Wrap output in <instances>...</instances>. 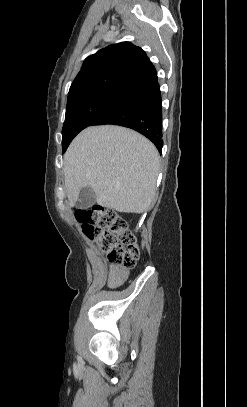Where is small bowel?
Masks as SVG:
<instances>
[{
  "mask_svg": "<svg viewBox=\"0 0 247 407\" xmlns=\"http://www.w3.org/2000/svg\"><path fill=\"white\" fill-rule=\"evenodd\" d=\"M108 284L110 286H117L126 281L130 275V271L119 265L110 264L108 266Z\"/></svg>",
  "mask_w": 247,
  "mask_h": 407,
  "instance_id": "1",
  "label": "small bowel"
}]
</instances>
